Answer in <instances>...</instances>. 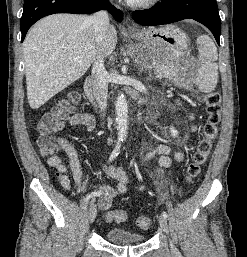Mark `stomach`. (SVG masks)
I'll return each mask as SVG.
<instances>
[{
  "label": "stomach",
  "mask_w": 247,
  "mask_h": 257,
  "mask_svg": "<svg viewBox=\"0 0 247 257\" xmlns=\"http://www.w3.org/2000/svg\"><path fill=\"white\" fill-rule=\"evenodd\" d=\"M129 36L136 41V51L132 53L136 63L143 67L169 63L175 66L169 78L180 83L178 63L185 56L188 46V39L183 31L173 25H168L138 30L130 33ZM195 80L196 78L187 79V82L193 83Z\"/></svg>",
  "instance_id": "obj_1"
}]
</instances>
